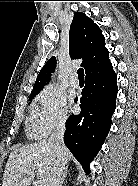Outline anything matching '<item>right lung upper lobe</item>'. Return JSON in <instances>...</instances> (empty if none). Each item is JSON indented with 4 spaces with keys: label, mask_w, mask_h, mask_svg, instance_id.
<instances>
[{
    "label": "right lung upper lobe",
    "mask_w": 138,
    "mask_h": 186,
    "mask_svg": "<svg viewBox=\"0 0 138 186\" xmlns=\"http://www.w3.org/2000/svg\"><path fill=\"white\" fill-rule=\"evenodd\" d=\"M105 38L98 26L84 13H74L69 32V52L74 59H83L85 79L113 74L112 64L105 48ZM56 67V58L51 57L39 72L30 95L38 94L49 81Z\"/></svg>",
    "instance_id": "1"
}]
</instances>
